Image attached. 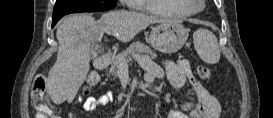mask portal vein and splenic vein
Masks as SVG:
<instances>
[{
    "label": "portal vein and splenic vein",
    "mask_w": 273,
    "mask_h": 118,
    "mask_svg": "<svg viewBox=\"0 0 273 118\" xmlns=\"http://www.w3.org/2000/svg\"><path fill=\"white\" fill-rule=\"evenodd\" d=\"M105 32L108 33V34H111V32H110L109 30H105ZM134 59H135L138 63L143 64L148 58L142 57V56H140V55H134ZM121 67H122V68H123V67H124V68H127V65H126V64H122Z\"/></svg>",
    "instance_id": "portal-vein-and-splenic-vein-1"
}]
</instances>
